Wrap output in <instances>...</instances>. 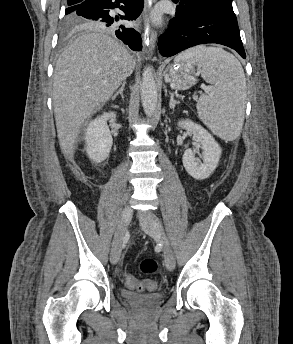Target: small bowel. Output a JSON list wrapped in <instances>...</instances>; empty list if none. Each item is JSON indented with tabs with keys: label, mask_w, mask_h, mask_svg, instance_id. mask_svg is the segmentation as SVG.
<instances>
[{
	"label": "small bowel",
	"mask_w": 293,
	"mask_h": 344,
	"mask_svg": "<svg viewBox=\"0 0 293 344\" xmlns=\"http://www.w3.org/2000/svg\"><path fill=\"white\" fill-rule=\"evenodd\" d=\"M131 288H137V289H141V287L137 286V287H131Z\"/></svg>",
	"instance_id": "obj_1"
}]
</instances>
